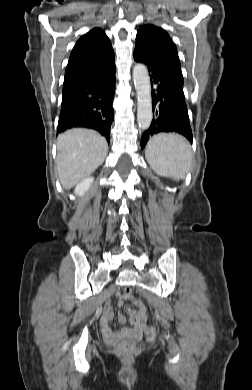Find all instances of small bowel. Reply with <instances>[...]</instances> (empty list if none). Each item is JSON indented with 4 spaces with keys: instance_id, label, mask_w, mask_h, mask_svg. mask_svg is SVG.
<instances>
[{
    "instance_id": "c3829d8e",
    "label": "small bowel",
    "mask_w": 252,
    "mask_h": 390,
    "mask_svg": "<svg viewBox=\"0 0 252 390\" xmlns=\"http://www.w3.org/2000/svg\"><path fill=\"white\" fill-rule=\"evenodd\" d=\"M119 299V304L121 305L126 299L125 296H119L116 294ZM125 313L128 315L130 320V325H126V317L122 314L119 315V321L123 324L122 328L119 331L110 333L109 322L113 317L112 305L108 300L104 305V316H103V329L106 333H110L112 338H121L124 336H130L132 334L140 336L146 330V310L143 304L138 303V309L134 310L129 306H125Z\"/></svg>"
}]
</instances>
